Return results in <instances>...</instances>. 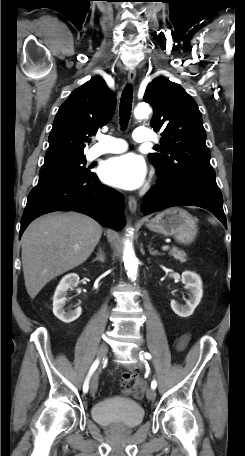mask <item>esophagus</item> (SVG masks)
Here are the masks:
<instances>
[{
  "label": "esophagus",
  "instance_id": "34e87169",
  "mask_svg": "<svg viewBox=\"0 0 245 456\" xmlns=\"http://www.w3.org/2000/svg\"><path fill=\"white\" fill-rule=\"evenodd\" d=\"M135 78H136V70L130 69L128 71V75H127L128 82L133 83ZM128 206H129L130 211L132 213H135V211L137 209V200L134 197L130 196L128 198Z\"/></svg>",
  "mask_w": 245,
  "mask_h": 456
}]
</instances>
